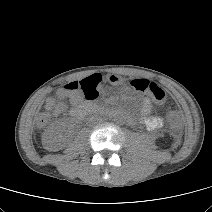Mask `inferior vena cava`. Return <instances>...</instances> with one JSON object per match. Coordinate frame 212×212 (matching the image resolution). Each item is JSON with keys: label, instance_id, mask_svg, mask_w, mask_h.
<instances>
[{"label": "inferior vena cava", "instance_id": "obj_1", "mask_svg": "<svg viewBox=\"0 0 212 212\" xmlns=\"http://www.w3.org/2000/svg\"><path fill=\"white\" fill-rule=\"evenodd\" d=\"M95 119H96V117L91 116V117H89V118L87 119V121H88L89 123H91V122L94 121Z\"/></svg>", "mask_w": 212, "mask_h": 212}]
</instances>
